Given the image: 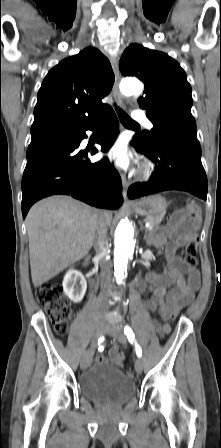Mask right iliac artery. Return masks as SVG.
<instances>
[{"label":"right iliac artery","mask_w":221,"mask_h":448,"mask_svg":"<svg viewBox=\"0 0 221 448\" xmlns=\"http://www.w3.org/2000/svg\"><path fill=\"white\" fill-rule=\"evenodd\" d=\"M103 339H104L103 337L99 338L98 344H100L103 341Z\"/></svg>","instance_id":"82829eb1"}]
</instances>
